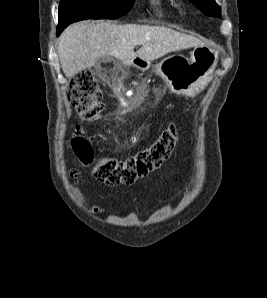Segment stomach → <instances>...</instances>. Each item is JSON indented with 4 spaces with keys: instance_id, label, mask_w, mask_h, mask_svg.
<instances>
[{
    "instance_id": "0dacf381",
    "label": "stomach",
    "mask_w": 267,
    "mask_h": 298,
    "mask_svg": "<svg viewBox=\"0 0 267 298\" xmlns=\"http://www.w3.org/2000/svg\"><path fill=\"white\" fill-rule=\"evenodd\" d=\"M218 57L217 46H198L190 58L183 55L168 57L157 63L153 71L164 79L171 92L194 96L211 80ZM130 64L141 70L150 68V62L141 58L132 59Z\"/></svg>"
}]
</instances>
